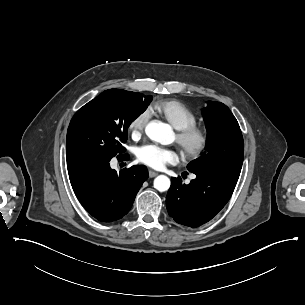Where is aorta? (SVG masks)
<instances>
[{
	"label": "aorta",
	"mask_w": 305,
	"mask_h": 305,
	"mask_svg": "<svg viewBox=\"0 0 305 305\" xmlns=\"http://www.w3.org/2000/svg\"><path fill=\"white\" fill-rule=\"evenodd\" d=\"M146 135L153 141L166 144L172 136V130L168 124L160 121H151L145 128ZM170 179L165 175H159L154 179V187L164 192L170 188Z\"/></svg>",
	"instance_id": "1"
}]
</instances>
